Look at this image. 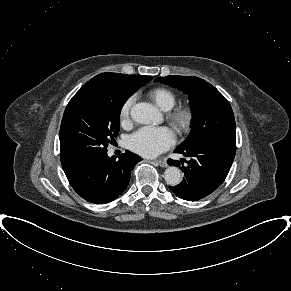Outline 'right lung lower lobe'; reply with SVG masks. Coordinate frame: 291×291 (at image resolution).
Wrapping results in <instances>:
<instances>
[{"instance_id": "obj_1", "label": "right lung lower lobe", "mask_w": 291, "mask_h": 291, "mask_svg": "<svg viewBox=\"0 0 291 291\" xmlns=\"http://www.w3.org/2000/svg\"><path fill=\"white\" fill-rule=\"evenodd\" d=\"M141 158L130 152L108 157L107 151L65 172L76 193L88 202L102 204L115 200L127 188L131 171Z\"/></svg>"}]
</instances>
